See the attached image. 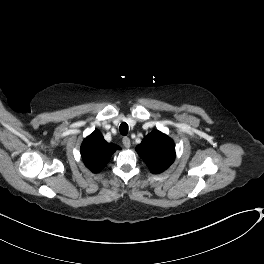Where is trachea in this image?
I'll use <instances>...</instances> for the list:
<instances>
[{"label":"trachea","instance_id":"3493384b","mask_svg":"<svg viewBox=\"0 0 264 264\" xmlns=\"http://www.w3.org/2000/svg\"><path fill=\"white\" fill-rule=\"evenodd\" d=\"M119 130L122 135H126L128 133V124L125 122L121 123L119 126Z\"/></svg>","mask_w":264,"mask_h":264}]
</instances>
